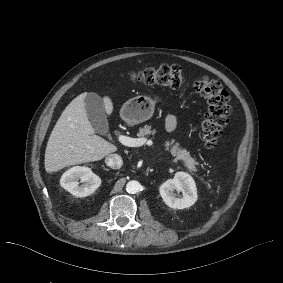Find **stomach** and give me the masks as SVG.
<instances>
[{
    "label": "stomach",
    "mask_w": 283,
    "mask_h": 283,
    "mask_svg": "<svg viewBox=\"0 0 283 283\" xmlns=\"http://www.w3.org/2000/svg\"><path fill=\"white\" fill-rule=\"evenodd\" d=\"M154 106L155 101L149 97L137 96L122 106L120 116L128 125H135L150 119Z\"/></svg>",
    "instance_id": "1"
}]
</instances>
